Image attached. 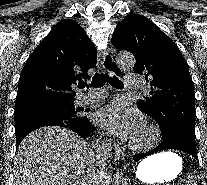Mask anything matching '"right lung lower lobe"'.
<instances>
[{
  "mask_svg": "<svg viewBox=\"0 0 207 185\" xmlns=\"http://www.w3.org/2000/svg\"><path fill=\"white\" fill-rule=\"evenodd\" d=\"M44 126L66 127V128L73 130L74 132H76L77 134H79L83 138L88 136L89 134L93 133L96 130V128L90 123L89 120H85L82 123H78V124H58L53 121H48V122H44V123H41L38 125L24 127L22 129H20L19 131L15 132V134H16V148H18L20 142L30 132H32L33 130L38 129L40 127H44Z\"/></svg>",
  "mask_w": 207,
  "mask_h": 185,
  "instance_id": "98d812e1",
  "label": "right lung lower lobe"
}]
</instances>
